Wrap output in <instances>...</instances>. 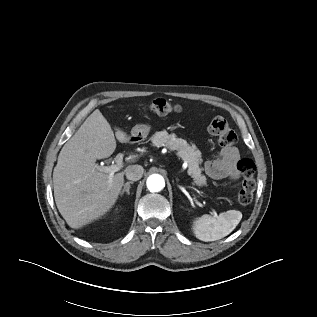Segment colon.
Here are the masks:
<instances>
[{
  "instance_id": "5ec220e1",
  "label": "colon",
  "mask_w": 317,
  "mask_h": 317,
  "mask_svg": "<svg viewBox=\"0 0 317 317\" xmlns=\"http://www.w3.org/2000/svg\"><path fill=\"white\" fill-rule=\"evenodd\" d=\"M149 110L156 115H166L177 112L179 107L166 99L158 98L149 104ZM209 131L218 138L219 143L224 147H231L237 142L236 133L221 116H216L211 120ZM237 170L242 176V186L238 192L237 200L240 205H247L252 202L256 189V167L251 159L242 158L237 162Z\"/></svg>"
}]
</instances>
